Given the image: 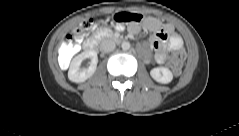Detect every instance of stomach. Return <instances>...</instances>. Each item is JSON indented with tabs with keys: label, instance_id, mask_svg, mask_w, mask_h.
<instances>
[{
	"label": "stomach",
	"instance_id": "obj_1",
	"mask_svg": "<svg viewBox=\"0 0 239 136\" xmlns=\"http://www.w3.org/2000/svg\"><path fill=\"white\" fill-rule=\"evenodd\" d=\"M145 21V16L142 13H132L131 11L117 12L112 15L114 24L133 25L142 24Z\"/></svg>",
	"mask_w": 239,
	"mask_h": 136
}]
</instances>
